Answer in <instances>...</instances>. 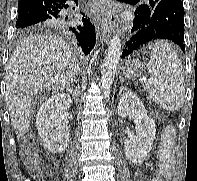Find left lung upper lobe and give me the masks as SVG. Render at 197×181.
I'll use <instances>...</instances> for the list:
<instances>
[{"instance_id":"5c2ea615","label":"left lung upper lobe","mask_w":197,"mask_h":181,"mask_svg":"<svg viewBox=\"0 0 197 181\" xmlns=\"http://www.w3.org/2000/svg\"><path fill=\"white\" fill-rule=\"evenodd\" d=\"M162 0H149V5H140L135 10V19L143 20L152 14L156 5Z\"/></svg>"}]
</instances>
